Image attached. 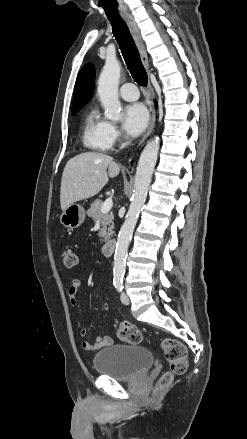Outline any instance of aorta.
<instances>
[{
	"mask_svg": "<svg viewBox=\"0 0 247 439\" xmlns=\"http://www.w3.org/2000/svg\"><path fill=\"white\" fill-rule=\"evenodd\" d=\"M120 72L121 64L119 61L108 58L98 79V95L104 107L106 118L112 121H118L122 117L121 104L118 98ZM159 145L158 138L152 139L147 143L139 158L131 204L116 243L113 282L117 284L121 283L124 277L128 246L141 207L147 196L154 167L157 162Z\"/></svg>",
	"mask_w": 247,
	"mask_h": 439,
	"instance_id": "obj_1",
	"label": "aorta"
}]
</instances>
